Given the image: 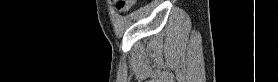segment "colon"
I'll return each mask as SVG.
<instances>
[{
  "mask_svg": "<svg viewBox=\"0 0 279 82\" xmlns=\"http://www.w3.org/2000/svg\"><path fill=\"white\" fill-rule=\"evenodd\" d=\"M111 2L115 4H124L125 6L131 8L137 3V0H124V1L111 0Z\"/></svg>",
  "mask_w": 279,
  "mask_h": 82,
  "instance_id": "5ec220e1",
  "label": "colon"
}]
</instances>
